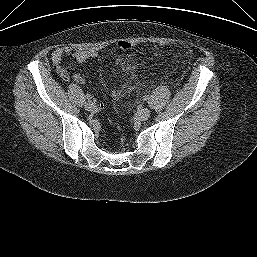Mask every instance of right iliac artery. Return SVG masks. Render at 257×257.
Here are the masks:
<instances>
[{
  "label": "right iliac artery",
  "mask_w": 257,
  "mask_h": 257,
  "mask_svg": "<svg viewBox=\"0 0 257 257\" xmlns=\"http://www.w3.org/2000/svg\"><path fill=\"white\" fill-rule=\"evenodd\" d=\"M85 97H86L87 100H90L92 98L90 94H86Z\"/></svg>",
  "instance_id": "1"
}]
</instances>
